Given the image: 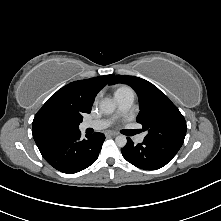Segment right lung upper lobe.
Segmentation results:
<instances>
[{
  "instance_id": "1",
  "label": "right lung upper lobe",
  "mask_w": 221,
  "mask_h": 221,
  "mask_svg": "<svg viewBox=\"0 0 221 221\" xmlns=\"http://www.w3.org/2000/svg\"><path fill=\"white\" fill-rule=\"evenodd\" d=\"M112 79L113 74L75 81L53 94L34 117L32 134L36 145L77 130L83 114L90 113L96 94Z\"/></svg>"
}]
</instances>
